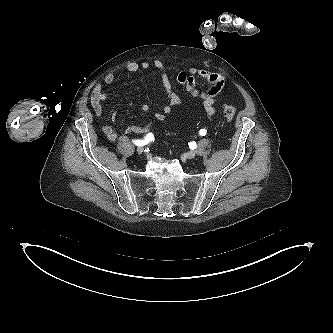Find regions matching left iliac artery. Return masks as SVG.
<instances>
[{
	"label": "left iliac artery",
	"instance_id": "1",
	"mask_svg": "<svg viewBox=\"0 0 333 333\" xmlns=\"http://www.w3.org/2000/svg\"><path fill=\"white\" fill-rule=\"evenodd\" d=\"M206 133H207V130H206V129H201V130L199 131V135H200V136H205Z\"/></svg>",
	"mask_w": 333,
	"mask_h": 333
}]
</instances>
